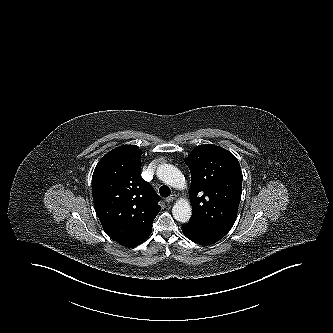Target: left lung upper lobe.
I'll use <instances>...</instances> for the list:
<instances>
[{"label": "left lung upper lobe", "mask_w": 333, "mask_h": 333, "mask_svg": "<svg viewBox=\"0 0 333 333\" xmlns=\"http://www.w3.org/2000/svg\"><path fill=\"white\" fill-rule=\"evenodd\" d=\"M191 172L189 222L226 235L237 217L242 171L237 158L216 145H199L185 159Z\"/></svg>", "instance_id": "5c2ea615"}]
</instances>
